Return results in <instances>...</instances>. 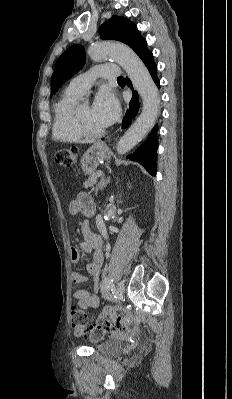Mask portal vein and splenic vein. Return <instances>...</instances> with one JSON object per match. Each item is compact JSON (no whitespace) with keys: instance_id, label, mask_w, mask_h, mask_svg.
<instances>
[{"instance_id":"1","label":"portal vein and splenic vein","mask_w":232,"mask_h":399,"mask_svg":"<svg viewBox=\"0 0 232 399\" xmlns=\"http://www.w3.org/2000/svg\"><path fill=\"white\" fill-rule=\"evenodd\" d=\"M103 172H97V178H100L102 176Z\"/></svg>"}]
</instances>
